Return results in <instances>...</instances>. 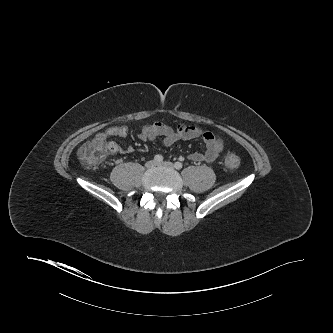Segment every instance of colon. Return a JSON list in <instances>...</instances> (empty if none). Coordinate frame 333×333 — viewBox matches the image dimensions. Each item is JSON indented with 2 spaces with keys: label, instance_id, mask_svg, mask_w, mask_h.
<instances>
[{
  "label": "colon",
  "instance_id": "colon-1",
  "mask_svg": "<svg viewBox=\"0 0 333 333\" xmlns=\"http://www.w3.org/2000/svg\"><path fill=\"white\" fill-rule=\"evenodd\" d=\"M110 153L109 143L102 138L84 144L78 151V159L86 167H95L99 165ZM227 168L235 170L240 166V158L234 153H228L224 158Z\"/></svg>",
  "mask_w": 333,
  "mask_h": 333
}]
</instances>
